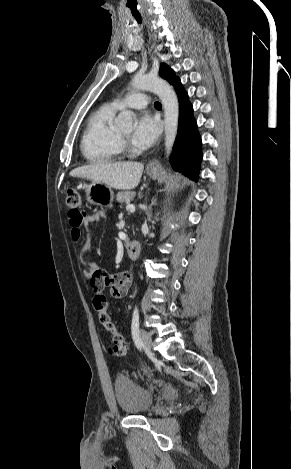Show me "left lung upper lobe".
Masks as SVG:
<instances>
[{"label": "left lung upper lobe", "mask_w": 291, "mask_h": 469, "mask_svg": "<svg viewBox=\"0 0 291 469\" xmlns=\"http://www.w3.org/2000/svg\"><path fill=\"white\" fill-rule=\"evenodd\" d=\"M159 75L172 84L178 77H176L174 71L166 64L162 63L159 70Z\"/></svg>", "instance_id": "5c2ea615"}]
</instances>
